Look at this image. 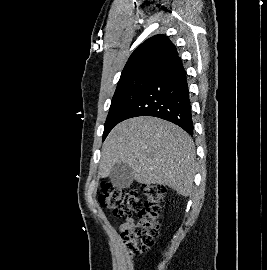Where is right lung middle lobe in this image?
Instances as JSON below:
<instances>
[{"label":"right lung middle lobe","mask_w":267,"mask_h":270,"mask_svg":"<svg viewBox=\"0 0 267 270\" xmlns=\"http://www.w3.org/2000/svg\"><path fill=\"white\" fill-rule=\"evenodd\" d=\"M154 77V74H146L118 84L104 125L103 140L115 125L125 119L129 110L147 90Z\"/></svg>","instance_id":"1"}]
</instances>
